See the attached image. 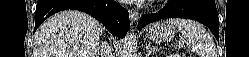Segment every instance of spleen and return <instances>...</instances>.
I'll list each match as a JSON object with an SVG mask.
<instances>
[{
	"mask_svg": "<svg viewBox=\"0 0 249 57\" xmlns=\"http://www.w3.org/2000/svg\"><path fill=\"white\" fill-rule=\"evenodd\" d=\"M166 23L177 26L192 51L200 53L202 57H213L215 44L203 25L182 18H170Z\"/></svg>",
	"mask_w": 249,
	"mask_h": 57,
	"instance_id": "obj_1",
	"label": "spleen"
}]
</instances>
